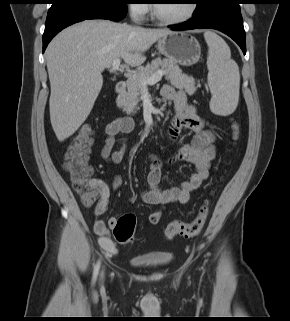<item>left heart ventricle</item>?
<instances>
[{"label":"left heart ventricle","instance_id":"obj_1","mask_svg":"<svg viewBox=\"0 0 290 321\" xmlns=\"http://www.w3.org/2000/svg\"><path fill=\"white\" fill-rule=\"evenodd\" d=\"M156 12L163 18H178L183 16L189 8L188 0H158Z\"/></svg>","mask_w":290,"mask_h":321}]
</instances>
